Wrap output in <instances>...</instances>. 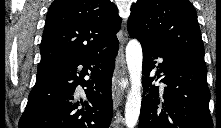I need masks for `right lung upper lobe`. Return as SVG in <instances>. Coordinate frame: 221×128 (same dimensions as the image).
Wrapping results in <instances>:
<instances>
[{"instance_id": "1", "label": "right lung upper lobe", "mask_w": 221, "mask_h": 128, "mask_svg": "<svg viewBox=\"0 0 221 128\" xmlns=\"http://www.w3.org/2000/svg\"><path fill=\"white\" fill-rule=\"evenodd\" d=\"M117 12L110 0H55L46 18L38 69L118 41L121 18Z\"/></svg>"}]
</instances>
